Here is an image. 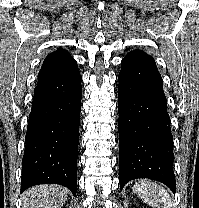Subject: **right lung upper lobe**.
Returning a JSON list of instances; mask_svg holds the SVG:
<instances>
[{
  "instance_id": "cb5924a9",
  "label": "right lung upper lobe",
  "mask_w": 199,
  "mask_h": 208,
  "mask_svg": "<svg viewBox=\"0 0 199 208\" xmlns=\"http://www.w3.org/2000/svg\"><path fill=\"white\" fill-rule=\"evenodd\" d=\"M79 74L77 62L68 51L59 48L49 54L38 75V85L59 82Z\"/></svg>"
}]
</instances>
